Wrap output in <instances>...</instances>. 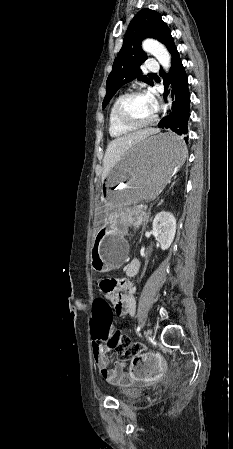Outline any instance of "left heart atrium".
Wrapping results in <instances>:
<instances>
[{"instance_id":"39dd6f15","label":"left heart atrium","mask_w":233,"mask_h":449,"mask_svg":"<svg viewBox=\"0 0 233 449\" xmlns=\"http://www.w3.org/2000/svg\"><path fill=\"white\" fill-rule=\"evenodd\" d=\"M146 95L149 98V100L152 102L153 106L156 108V98H155L154 94L152 92H147Z\"/></svg>"}]
</instances>
